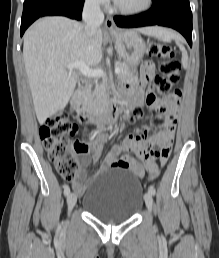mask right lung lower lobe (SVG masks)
<instances>
[{"label": "right lung lower lobe", "mask_w": 219, "mask_h": 258, "mask_svg": "<svg viewBox=\"0 0 219 258\" xmlns=\"http://www.w3.org/2000/svg\"><path fill=\"white\" fill-rule=\"evenodd\" d=\"M84 0H31L23 5L21 36L39 17L62 15L80 20Z\"/></svg>", "instance_id": "98d812e1"}]
</instances>
